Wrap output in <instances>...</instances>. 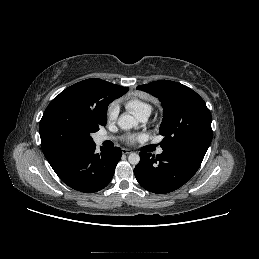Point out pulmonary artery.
I'll return each mask as SVG.
<instances>
[{
  "label": "pulmonary artery",
  "instance_id": "obj_1",
  "mask_svg": "<svg viewBox=\"0 0 259 259\" xmlns=\"http://www.w3.org/2000/svg\"><path fill=\"white\" fill-rule=\"evenodd\" d=\"M149 112H143L139 115H137L138 119L142 122L146 121L149 117ZM114 137H110V136H101L99 137V142H104V141H108V140H113ZM163 152V150L161 148H159L157 150V154H161Z\"/></svg>",
  "mask_w": 259,
  "mask_h": 259
}]
</instances>
